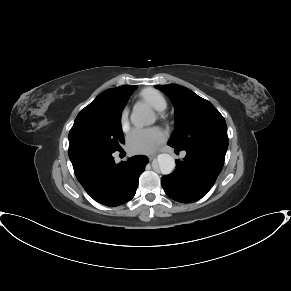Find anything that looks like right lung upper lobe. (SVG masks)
I'll use <instances>...</instances> for the list:
<instances>
[{
  "label": "right lung upper lobe",
  "instance_id": "obj_1",
  "mask_svg": "<svg viewBox=\"0 0 291 291\" xmlns=\"http://www.w3.org/2000/svg\"><path fill=\"white\" fill-rule=\"evenodd\" d=\"M134 89H135V86H133V85L120 86L117 88H111V89L105 90L104 92H102V94L112 92V91L129 92V91H133Z\"/></svg>",
  "mask_w": 291,
  "mask_h": 291
}]
</instances>
